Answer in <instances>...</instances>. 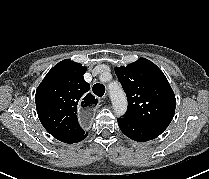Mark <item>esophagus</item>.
Returning a JSON list of instances; mask_svg holds the SVG:
<instances>
[{
    "mask_svg": "<svg viewBox=\"0 0 209 179\" xmlns=\"http://www.w3.org/2000/svg\"><path fill=\"white\" fill-rule=\"evenodd\" d=\"M97 98L92 94H85L78 104L79 124L83 128H90L94 124V107Z\"/></svg>",
    "mask_w": 209,
    "mask_h": 179,
    "instance_id": "34e87169",
    "label": "esophagus"
}]
</instances>
